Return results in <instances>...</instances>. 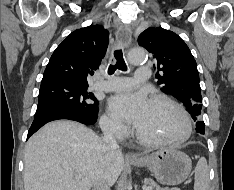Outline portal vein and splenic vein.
I'll return each instance as SVG.
<instances>
[{
  "label": "portal vein and splenic vein",
  "mask_w": 234,
  "mask_h": 190,
  "mask_svg": "<svg viewBox=\"0 0 234 190\" xmlns=\"http://www.w3.org/2000/svg\"><path fill=\"white\" fill-rule=\"evenodd\" d=\"M75 177H76L77 179H81V178H82V175L77 174ZM144 190H153V188L150 187V186H148V187H144Z\"/></svg>",
  "instance_id": "portal-vein-and-splenic-vein-1"
}]
</instances>
